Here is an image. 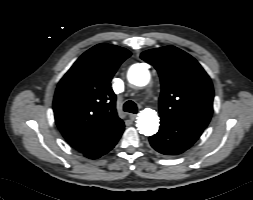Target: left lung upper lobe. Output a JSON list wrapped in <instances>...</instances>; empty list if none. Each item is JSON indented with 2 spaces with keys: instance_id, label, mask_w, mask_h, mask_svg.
Listing matches in <instances>:
<instances>
[{
  "instance_id": "5c2ea615",
  "label": "left lung upper lobe",
  "mask_w": 253,
  "mask_h": 200,
  "mask_svg": "<svg viewBox=\"0 0 253 200\" xmlns=\"http://www.w3.org/2000/svg\"><path fill=\"white\" fill-rule=\"evenodd\" d=\"M141 58L152 64L160 76V117L204 130L212 116L214 91L202 66L174 46L144 51Z\"/></svg>"
}]
</instances>
